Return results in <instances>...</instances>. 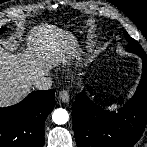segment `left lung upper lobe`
<instances>
[{
	"label": "left lung upper lobe",
	"mask_w": 147,
	"mask_h": 147,
	"mask_svg": "<svg viewBox=\"0 0 147 147\" xmlns=\"http://www.w3.org/2000/svg\"><path fill=\"white\" fill-rule=\"evenodd\" d=\"M126 39L129 42V44L126 47L127 51L131 53H135L139 56L145 55L143 48L140 46V44L136 40H134L130 36H127Z\"/></svg>",
	"instance_id": "left-lung-upper-lobe-1"
}]
</instances>
